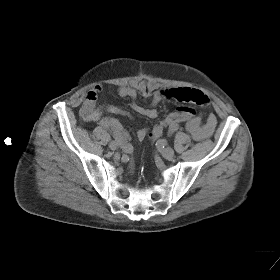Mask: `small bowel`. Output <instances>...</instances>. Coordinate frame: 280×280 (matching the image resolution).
I'll use <instances>...</instances> for the list:
<instances>
[{
	"label": "small bowel",
	"mask_w": 280,
	"mask_h": 280,
	"mask_svg": "<svg viewBox=\"0 0 280 280\" xmlns=\"http://www.w3.org/2000/svg\"><path fill=\"white\" fill-rule=\"evenodd\" d=\"M102 91V86L97 85L91 89L81 106L80 116L85 122L98 121L102 118L105 112L113 113L116 115L129 116V113L117 106L105 103H99L98 96ZM118 95L122 98H129L132 102V109L140 115L147 118L154 119L157 117L156 106L159 102L164 100H176L183 103H192L199 106H207L209 103L208 97L201 91L192 88H170L160 89L152 94V101L150 106L143 107L135 102L137 92L134 88L129 86H121L117 90ZM112 126L126 137L125 132L122 130L119 122L111 118L109 120ZM186 130L196 140L202 141L209 138L217 125V119L214 114L208 115L203 121L201 114H194L191 118L185 121ZM147 129L142 128L137 132V138L143 140L147 135Z\"/></svg>",
	"instance_id": "obj_1"
}]
</instances>
